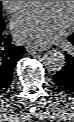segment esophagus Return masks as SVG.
<instances>
[{"label": "esophagus", "instance_id": "obj_1", "mask_svg": "<svg viewBox=\"0 0 74 122\" xmlns=\"http://www.w3.org/2000/svg\"><path fill=\"white\" fill-rule=\"evenodd\" d=\"M47 46L43 45H28L26 46V50L30 53L41 52L47 50Z\"/></svg>", "mask_w": 74, "mask_h": 122}]
</instances>
